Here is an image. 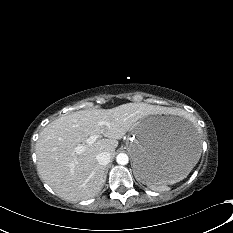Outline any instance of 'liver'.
<instances>
[{
  "instance_id": "6515ba94",
  "label": "liver",
  "mask_w": 233,
  "mask_h": 233,
  "mask_svg": "<svg viewBox=\"0 0 233 233\" xmlns=\"http://www.w3.org/2000/svg\"><path fill=\"white\" fill-rule=\"evenodd\" d=\"M169 113L165 108L145 103H126L112 109H87L62 116L49 123L36 143L40 178L62 199L81 201L96 196L103 186L104 166L96 156L103 151L112 156L121 139L137 122L149 115ZM106 121L109 125H100ZM102 135L91 145L88 137ZM84 145L77 154L75 148Z\"/></svg>"
}]
</instances>
